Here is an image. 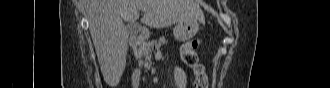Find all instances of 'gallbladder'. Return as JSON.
<instances>
[{
  "label": "gallbladder",
  "instance_id": "gallbladder-1",
  "mask_svg": "<svg viewBox=\"0 0 330 88\" xmlns=\"http://www.w3.org/2000/svg\"><path fill=\"white\" fill-rule=\"evenodd\" d=\"M128 30H129L130 33H133L131 25L128 26Z\"/></svg>",
  "mask_w": 330,
  "mask_h": 88
}]
</instances>
